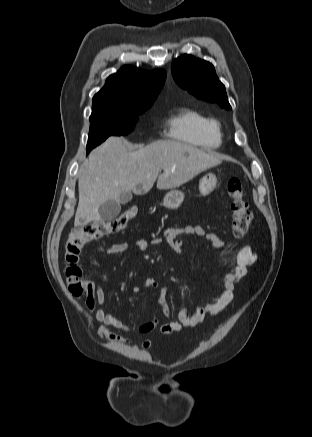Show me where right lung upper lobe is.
Listing matches in <instances>:
<instances>
[{"instance_id":"obj_1","label":"right lung upper lobe","mask_w":312,"mask_h":437,"mask_svg":"<svg viewBox=\"0 0 312 437\" xmlns=\"http://www.w3.org/2000/svg\"><path fill=\"white\" fill-rule=\"evenodd\" d=\"M166 73L164 70L145 72L123 66L111 75L105 86L93 97L92 113H144L161 91Z\"/></svg>"}]
</instances>
